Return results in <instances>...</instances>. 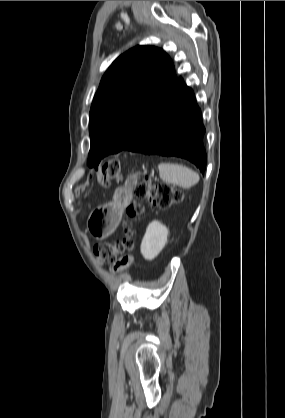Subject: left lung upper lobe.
<instances>
[{
	"label": "left lung upper lobe",
	"mask_w": 285,
	"mask_h": 418,
	"mask_svg": "<svg viewBox=\"0 0 285 418\" xmlns=\"http://www.w3.org/2000/svg\"><path fill=\"white\" fill-rule=\"evenodd\" d=\"M176 79L174 65L162 49L136 46L120 55L93 99L88 166L96 167L104 154L123 150Z\"/></svg>",
	"instance_id": "left-lung-upper-lobe-1"
}]
</instances>
